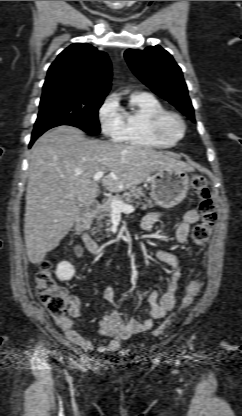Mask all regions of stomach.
<instances>
[{"mask_svg": "<svg viewBox=\"0 0 242 416\" xmlns=\"http://www.w3.org/2000/svg\"><path fill=\"white\" fill-rule=\"evenodd\" d=\"M151 197L162 208H172L185 199L189 190L186 170L163 167L149 179Z\"/></svg>", "mask_w": 242, "mask_h": 416, "instance_id": "0dacf381", "label": "stomach"}]
</instances>
